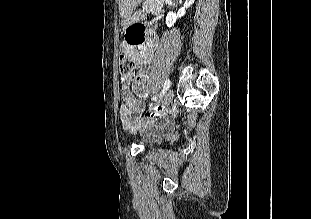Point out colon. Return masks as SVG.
<instances>
[{"label":"colon","instance_id":"1","mask_svg":"<svg viewBox=\"0 0 311 219\" xmlns=\"http://www.w3.org/2000/svg\"><path fill=\"white\" fill-rule=\"evenodd\" d=\"M144 27L140 24L130 26L126 31V41L133 43L140 39ZM119 71L121 73V82L124 83L126 76L131 74L135 69L134 60L126 55H121L118 61ZM134 90L139 95H146L147 82L143 78H138L134 83Z\"/></svg>","mask_w":311,"mask_h":219}]
</instances>
